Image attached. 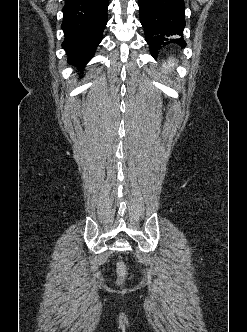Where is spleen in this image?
I'll return each mask as SVG.
<instances>
[{
    "label": "spleen",
    "mask_w": 247,
    "mask_h": 332,
    "mask_svg": "<svg viewBox=\"0 0 247 332\" xmlns=\"http://www.w3.org/2000/svg\"><path fill=\"white\" fill-rule=\"evenodd\" d=\"M176 63H175V60L173 59V58H171L170 60H169V62H168V65L167 66H165V70H164V72L166 73V72H171L172 71V68H173V66L175 65Z\"/></svg>",
    "instance_id": "spleen-1"
}]
</instances>
